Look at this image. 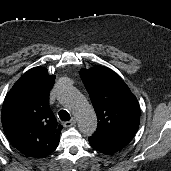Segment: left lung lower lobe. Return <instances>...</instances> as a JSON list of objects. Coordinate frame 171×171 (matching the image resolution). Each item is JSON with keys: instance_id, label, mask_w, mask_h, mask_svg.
<instances>
[{"instance_id": "obj_1", "label": "left lung lower lobe", "mask_w": 171, "mask_h": 171, "mask_svg": "<svg viewBox=\"0 0 171 171\" xmlns=\"http://www.w3.org/2000/svg\"><path fill=\"white\" fill-rule=\"evenodd\" d=\"M88 140H89V143H90L91 147L94 148L95 150L101 152V153L113 154V153L118 151V149H116L114 147H110V146H108L106 144H103V143H101L99 141H96V140H94V139H92L90 137L88 138Z\"/></svg>"}]
</instances>
